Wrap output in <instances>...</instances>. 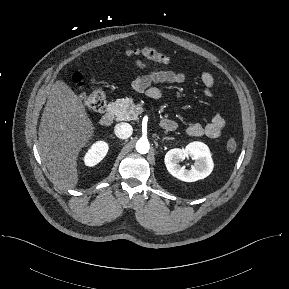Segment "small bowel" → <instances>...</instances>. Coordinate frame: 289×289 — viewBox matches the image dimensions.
Returning <instances> with one entry per match:
<instances>
[{"label": "small bowel", "mask_w": 289, "mask_h": 289, "mask_svg": "<svg viewBox=\"0 0 289 289\" xmlns=\"http://www.w3.org/2000/svg\"><path fill=\"white\" fill-rule=\"evenodd\" d=\"M136 65L141 70H147L148 65L142 61H137ZM186 79L183 70L171 71L155 69L137 77L133 83V88L139 93H144L152 99H158L161 96V89L158 84L182 83ZM203 86V93L207 97H213V86L215 84L214 76L209 72H203L200 76ZM226 125V120L220 115H214L206 125L199 123L190 124L186 132L193 137L206 136L208 138H218Z\"/></svg>", "instance_id": "small-bowel-1"}]
</instances>
